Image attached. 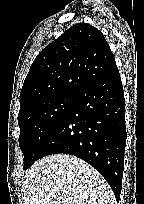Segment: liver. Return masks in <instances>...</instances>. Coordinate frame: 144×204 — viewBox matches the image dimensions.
<instances>
[{
    "label": "liver",
    "mask_w": 144,
    "mask_h": 204,
    "mask_svg": "<svg viewBox=\"0 0 144 204\" xmlns=\"http://www.w3.org/2000/svg\"><path fill=\"white\" fill-rule=\"evenodd\" d=\"M24 204H114L102 175L85 161L55 154L40 159L22 179Z\"/></svg>",
    "instance_id": "liver-1"
}]
</instances>
